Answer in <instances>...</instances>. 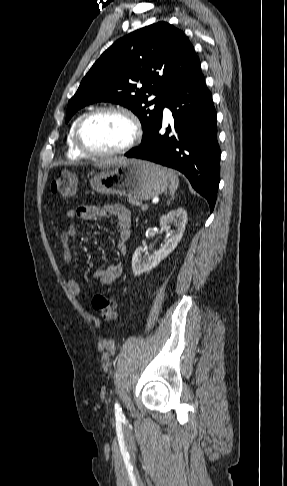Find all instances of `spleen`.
<instances>
[{
  "label": "spleen",
  "mask_w": 287,
  "mask_h": 486,
  "mask_svg": "<svg viewBox=\"0 0 287 486\" xmlns=\"http://www.w3.org/2000/svg\"><path fill=\"white\" fill-rule=\"evenodd\" d=\"M166 171H167V174H168V177H169V180H170V186H169L170 195L173 196L175 191L178 188L179 179H178V176L175 174L174 171H172V170H166Z\"/></svg>",
  "instance_id": "obj_1"
}]
</instances>
